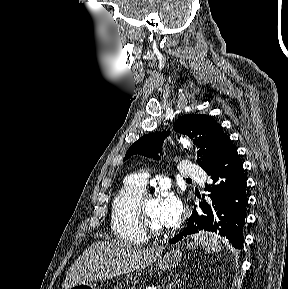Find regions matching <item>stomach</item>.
Here are the masks:
<instances>
[{"label": "stomach", "instance_id": "1", "mask_svg": "<svg viewBox=\"0 0 288 289\" xmlns=\"http://www.w3.org/2000/svg\"><path fill=\"white\" fill-rule=\"evenodd\" d=\"M197 246H198V243L195 239L192 242H188L186 248L188 250H194L196 249ZM181 259H182L181 250L172 249L169 252H167L164 256H161L158 259L157 265L161 270H168L177 266L181 262ZM72 289H95V285L90 282H87V283L78 284L72 287Z\"/></svg>", "mask_w": 288, "mask_h": 289}]
</instances>
